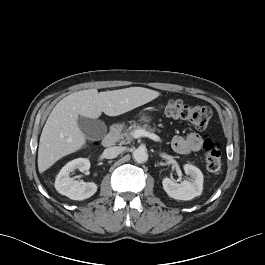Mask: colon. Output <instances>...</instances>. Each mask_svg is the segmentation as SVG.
Listing matches in <instances>:
<instances>
[{"label": "colon", "instance_id": "5ec220e1", "mask_svg": "<svg viewBox=\"0 0 265 265\" xmlns=\"http://www.w3.org/2000/svg\"><path fill=\"white\" fill-rule=\"evenodd\" d=\"M167 117L184 120L198 129L206 128L212 118V111L207 106H192L181 100H171L162 106ZM206 168L211 173H218L221 169V152L219 144L207 138L204 141Z\"/></svg>", "mask_w": 265, "mask_h": 265}]
</instances>
